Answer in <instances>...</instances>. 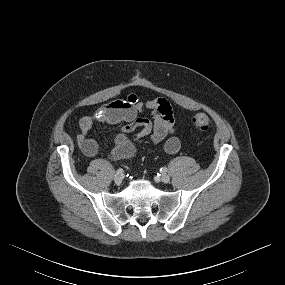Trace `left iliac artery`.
<instances>
[{
    "label": "left iliac artery",
    "instance_id": "1",
    "mask_svg": "<svg viewBox=\"0 0 285 285\" xmlns=\"http://www.w3.org/2000/svg\"><path fill=\"white\" fill-rule=\"evenodd\" d=\"M161 173H167L168 172V169L166 167H163L160 169Z\"/></svg>",
    "mask_w": 285,
    "mask_h": 285
}]
</instances>
